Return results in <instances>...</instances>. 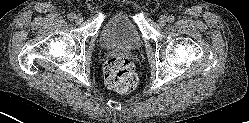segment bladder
<instances>
[{"label": "bladder", "instance_id": "bladder-1", "mask_svg": "<svg viewBox=\"0 0 249 123\" xmlns=\"http://www.w3.org/2000/svg\"><path fill=\"white\" fill-rule=\"evenodd\" d=\"M98 43L104 49L135 50L143 44V36L136 20L127 10L121 9L105 20Z\"/></svg>", "mask_w": 249, "mask_h": 123}]
</instances>
